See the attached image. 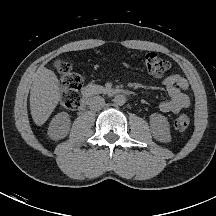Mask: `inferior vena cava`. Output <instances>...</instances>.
Returning <instances> with one entry per match:
<instances>
[{
    "mask_svg": "<svg viewBox=\"0 0 216 216\" xmlns=\"http://www.w3.org/2000/svg\"><path fill=\"white\" fill-rule=\"evenodd\" d=\"M88 105H89L90 109L100 110L104 107L105 100L100 96H94V97H91L89 99Z\"/></svg>",
    "mask_w": 216,
    "mask_h": 216,
    "instance_id": "inferior-vena-cava-1",
    "label": "inferior vena cava"
}]
</instances>
